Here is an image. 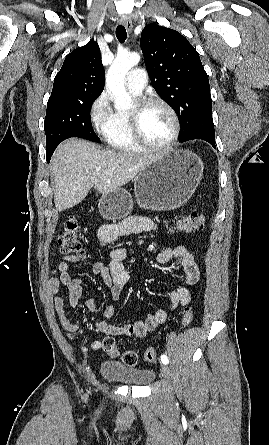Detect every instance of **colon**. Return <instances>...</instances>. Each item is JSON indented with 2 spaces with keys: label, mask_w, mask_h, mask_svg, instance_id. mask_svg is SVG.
Here are the masks:
<instances>
[{
  "label": "colon",
  "mask_w": 269,
  "mask_h": 445,
  "mask_svg": "<svg viewBox=\"0 0 269 445\" xmlns=\"http://www.w3.org/2000/svg\"><path fill=\"white\" fill-rule=\"evenodd\" d=\"M205 217L198 212H192L179 218L175 229L180 232H194L204 228ZM58 244L62 254L67 256H75L79 259L86 257L87 253L83 248L78 233V223L75 217H69L64 223L63 230L58 237ZM194 318V311L191 307H185L181 324L187 327L191 324ZM103 351L111 358L119 356V348L115 339L107 336L102 341ZM144 358L148 362H153L156 359V351L153 348H148L144 352ZM122 361L129 367L137 366L139 356L135 351L127 350L122 354Z\"/></svg>",
  "instance_id": "colon-1"
}]
</instances>
